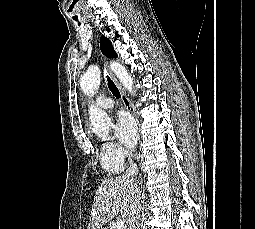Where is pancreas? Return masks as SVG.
I'll return each instance as SVG.
<instances>
[{"label":"pancreas","mask_w":255,"mask_h":229,"mask_svg":"<svg viewBox=\"0 0 255 229\" xmlns=\"http://www.w3.org/2000/svg\"><path fill=\"white\" fill-rule=\"evenodd\" d=\"M110 229H116V226L115 225H111ZM122 229H124V228H122Z\"/></svg>","instance_id":"1"}]
</instances>
